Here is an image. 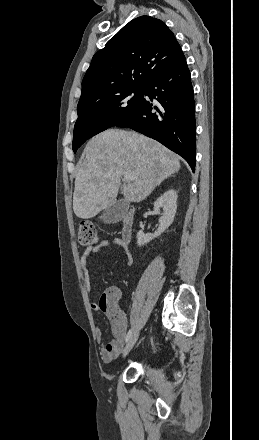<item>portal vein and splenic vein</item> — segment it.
<instances>
[{"instance_id": "portal-vein-and-splenic-vein-1", "label": "portal vein and splenic vein", "mask_w": 259, "mask_h": 440, "mask_svg": "<svg viewBox=\"0 0 259 440\" xmlns=\"http://www.w3.org/2000/svg\"><path fill=\"white\" fill-rule=\"evenodd\" d=\"M124 179L127 180V181H131V180H133L134 178H133L132 175H130V174H126V175L124 176Z\"/></svg>"}]
</instances>
